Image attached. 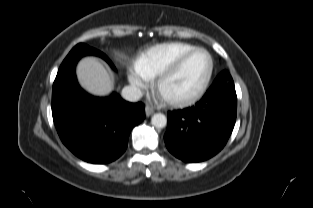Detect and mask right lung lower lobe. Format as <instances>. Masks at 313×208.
Segmentation results:
<instances>
[{
	"label": "right lung lower lobe",
	"mask_w": 313,
	"mask_h": 208,
	"mask_svg": "<svg viewBox=\"0 0 313 208\" xmlns=\"http://www.w3.org/2000/svg\"><path fill=\"white\" fill-rule=\"evenodd\" d=\"M93 54L110 60L86 46L68 55L61 64L52 91V115L63 144L80 159L109 163L127 148L129 134L145 118L142 103H129L113 93L107 98L88 95L78 85L75 65L81 56Z\"/></svg>",
	"instance_id": "98d812e1"
}]
</instances>
